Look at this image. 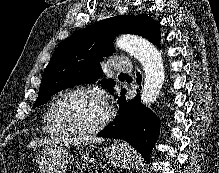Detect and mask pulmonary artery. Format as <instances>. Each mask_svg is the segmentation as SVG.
<instances>
[{
  "mask_svg": "<svg viewBox=\"0 0 219 173\" xmlns=\"http://www.w3.org/2000/svg\"><path fill=\"white\" fill-rule=\"evenodd\" d=\"M111 68L120 72L130 71L132 69V64L128 58L115 57L111 60Z\"/></svg>",
  "mask_w": 219,
  "mask_h": 173,
  "instance_id": "e3ab8cb5",
  "label": "pulmonary artery"
}]
</instances>
